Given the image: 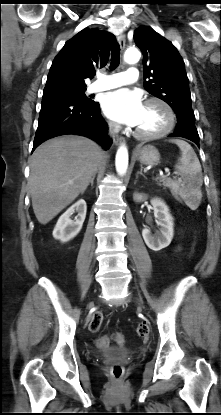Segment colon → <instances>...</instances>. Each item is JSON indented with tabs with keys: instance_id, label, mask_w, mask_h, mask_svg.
<instances>
[{
	"instance_id": "obj_1",
	"label": "colon",
	"mask_w": 221,
	"mask_h": 415,
	"mask_svg": "<svg viewBox=\"0 0 221 415\" xmlns=\"http://www.w3.org/2000/svg\"><path fill=\"white\" fill-rule=\"evenodd\" d=\"M170 194L174 196L175 200H180L181 199V194L178 193V189L177 188H171L170 189ZM103 314L101 312H96L91 320H90V324H89V328L91 331L96 332L101 328L102 322H103ZM136 332L138 334V336L142 337V338H146L148 336L149 333V328L147 326V324L145 323H140L138 324L137 328H136ZM112 339L120 346L124 345L125 343V337L123 334L117 332L115 334H113ZM97 344L99 347L101 348H105L108 346L109 344V338L106 336H103L101 338L98 339ZM124 373V368L122 365L115 363L110 367V374L112 376V378L114 380H120L123 376Z\"/></svg>"
}]
</instances>
